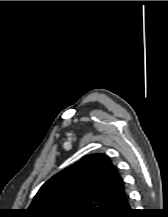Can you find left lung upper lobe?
Segmentation results:
<instances>
[{
  "mask_svg": "<svg viewBox=\"0 0 168 217\" xmlns=\"http://www.w3.org/2000/svg\"><path fill=\"white\" fill-rule=\"evenodd\" d=\"M124 189L109 157L93 154L43 184L27 211L31 217H98Z\"/></svg>",
  "mask_w": 168,
  "mask_h": 217,
  "instance_id": "obj_1",
  "label": "left lung upper lobe"
}]
</instances>
